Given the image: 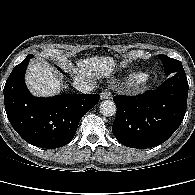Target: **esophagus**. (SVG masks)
I'll return each instance as SVG.
<instances>
[{
	"label": "esophagus",
	"instance_id": "obj_1",
	"mask_svg": "<svg viewBox=\"0 0 195 195\" xmlns=\"http://www.w3.org/2000/svg\"><path fill=\"white\" fill-rule=\"evenodd\" d=\"M111 98H112V94H111L110 90L105 89L101 92V99L102 100L111 99Z\"/></svg>",
	"mask_w": 195,
	"mask_h": 195
}]
</instances>
